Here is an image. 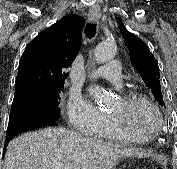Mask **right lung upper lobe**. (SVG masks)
Segmentation results:
<instances>
[{"mask_svg": "<svg viewBox=\"0 0 177 169\" xmlns=\"http://www.w3.org/2000/svg\"><path fill=\"white\" fill-rule=\"evenodd\" d=\"M69 14L42 31L25 48L18 67L15 95L29 86H63L69 67L81 46V31Z\"/></svg>", "mask_w": 177, "mask_h": 169, "instance_id": "obj_1", "label": "right lung upper lobe"}]
</instances>
